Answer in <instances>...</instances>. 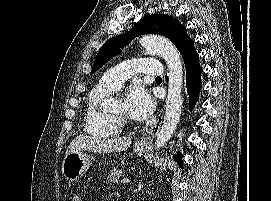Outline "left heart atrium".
Segmentation results:
<instances>
[{"label": "left heart atrium", "instance_id": "obj_1", "mask_svg": "<svg viewBox=\"0 0 271 201\" xmlns=\"http://www.w3.org/2000/svg\"><path fill=\"white\" fill-rule=\"evenodd\" d=\"M127 114L135 120H144L155 110V101L141 85L133 86L124 100Z\"/></svg>", "mask_w": 271, "mask_h": 201}]
</instances>
